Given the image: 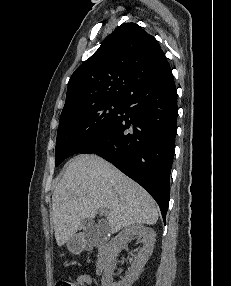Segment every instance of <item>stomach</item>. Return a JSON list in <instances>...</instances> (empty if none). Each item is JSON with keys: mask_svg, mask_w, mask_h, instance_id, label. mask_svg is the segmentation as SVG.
<instances>
[{"mask_svg": "<svg viewBox=\"0 0 231 286\" xmlns=\"http://www.w3.org/2000/svg\"><path fill=\"white\" fill-rule=\"evenodd\" d=\"M67 248L71 252H78L81 249V243L77 238L73 237L69 241H67Z\"/></svg>", "mask_w": 231, "mask_h": 286, "instance_id": "1", "label": "stomach"}]
</instances>
